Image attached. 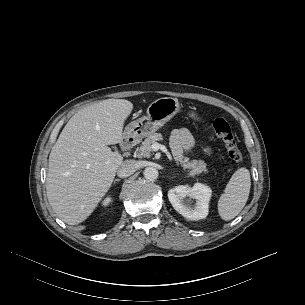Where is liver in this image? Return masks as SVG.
<instances>
[{"label":"liver","mask_w":305,"mask_h":305,"mask_svg":"<svg viewBox=\"0 0 305 305\" xmlns=\"http://www.w3.org/2000/svg\"><path fill=\"white\" fill-rule=\"evenodd\" d=\"M133 104L107 99L78 111L53 145L46 192L57 216L77 225L91 215L109 190L123 161L108 145L120 143Z\"/></svg>","instance_id":"obj_1"}]
</instances>
